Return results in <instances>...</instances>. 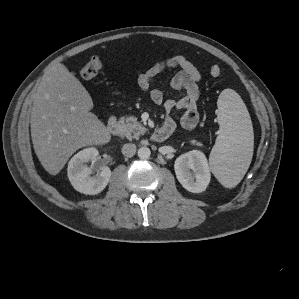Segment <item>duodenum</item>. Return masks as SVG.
Listing matches in <instances>:
<instances>
[{
	"label": "duodenum",
	"instance_id": "obj_1",
	"mask_svg": "<svg viewBox=\"0 0 299 299\" xmlns=\"http://www.w3.org/2000/svg\"><path fill=\"white\" fill-rule=\"evenodd\" d=\"M107 128H108L109 133L113 136L119 137L122 135L121 126L115 117L110 118ZM170 135H171V132L169 129H167L165 127H161L152 133L151 138L153 141L163 142Z\"/></svg>",
	"mask_w": 299,
	"mask_h": 299
}]
</instances>
